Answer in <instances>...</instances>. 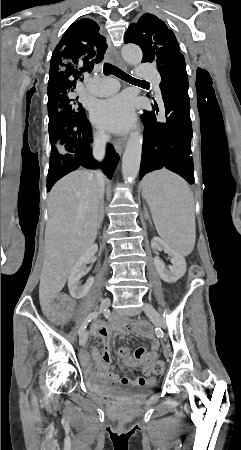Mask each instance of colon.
Returning <instances> with one entry per match:
<instances>
[{"label":"colon","instance_id":"colon-1","mask_svg":"<svg viewBox=\"0 0 241 450\" xmlns=\"http://www.w3.org/2000/svg\"><path fill=\"white\" fill-rule=\"evenodd\" d=\"M202 274V269L200 266L193 264L190 266V275L192 277H199ZM163 371V364L162 363H157L154 366V372L156 374H159Z\"/></svg>","mask_w":241,"mask_h":450}]
</instances>
